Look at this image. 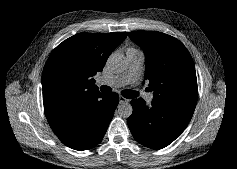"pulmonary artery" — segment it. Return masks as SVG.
Segmentation results:
<instances>
[{
	"label": "pulmonary artery",
	"instance_id": "pulmonary-artery-1",
	"mask_svg": "<svg viewBox=\"0 0 237 169\" xmlns=\"http://www.w3.org/2000/svg\"><path fill=\"white\" fill-rule=\"evenodd\" d=\"M127 59H128V62H129V65H130V68L132 70H136L139 68L140 64L142 63L143 61V54L139 51L137 52H130L128 51L127 52ZM119 79L117 78H109L107 79L105 82L110 85V86H115V85H118L119 84ZM153 98L152 95H149L147 100L148 101H151Z\"/></svg>",
	"mask_w": 237,
	"mask_h": 169
}]
</instances>
